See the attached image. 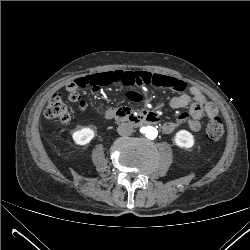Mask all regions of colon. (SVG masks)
Listing matches in <instances>:
<instances>
[{"label": "colon", "instance_id": "1", "mask_svg": "<svg viewBox=\"0 0 250 250\" xmlns=\"http://www.w3.org/2000/svg\"><path fill=\"white\" fill-rule=\"evenodd\" d=\"M165 80L164 77L156 74L117 69L96 73L89 77H81L70 81L65 85V91L70 97L77 98L79 91L87 87H97L112 83H121L130 86L134 85L137 81H143L145 84L158 87ZM73 114L74 108L64 100V94L62 92L53 94L44 109V115L47 118L59 119L61 121L70 120ZM223 133L224 127L221 119L217 115L213 116L207 124V138L211 141H216L223 136Z\"/></svg>", "mask_w": 250, "mask_h": 250}]
</instances>
